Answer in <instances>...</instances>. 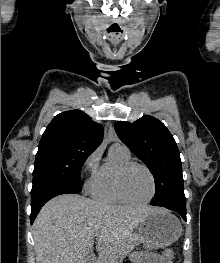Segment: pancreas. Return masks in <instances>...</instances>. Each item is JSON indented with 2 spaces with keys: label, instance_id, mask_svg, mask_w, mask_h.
<instances>
[{
  "label": "pancreas",
  "instance_id": "cf45deb5",
  "mask_svg": "<svg viewBox=\"0 0 220 263\" xmlns=\"http://www.w3.org/2000/svg\"><path fill=\"white\" fill-rule=\"evenodd\" d=\"M140 236L138 234H131L123 244V246L120 248L119 253L125 254L128 252V250L134 248L136 245L140 242Z\"/></svg>",
  "mask_w": 220,
  "mask_h": 263
}]
</instances>
